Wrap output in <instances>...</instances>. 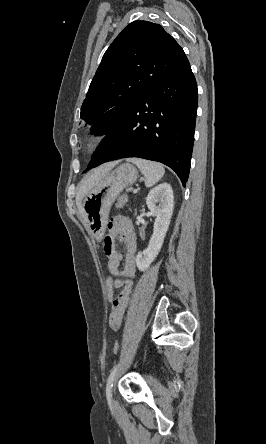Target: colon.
<instances>
[{"mask_svg": "<svg viewBox=\"0 0 266 444\" xmlns=\"http://www.w3.org/2000/svg\"><path fill=\"white\" fill-rule=\"evenodd\" d=\"M126 198H127L126 195H122L118 199L117 205L118 206L123 205ZM116 289L117 288H116V284H115V278L113 276H108L105 281V292H106V297H107L108 301L113 302L115 300L114 294H115ZM119 349H120V345L117 341H115L113 344V352L118 353Z\"/></svg>", "mask_w": 266, "mask_h": 444, "instance_id": "1", "label": "colon"}]
</instances>
